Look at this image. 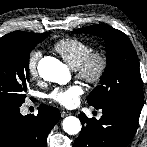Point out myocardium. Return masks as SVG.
Listing matches in <instances>:
<instances>
[{
	"label": "myocardium",
	"instance_id": "myocardium-1",
	"mask_svg": "<svg viewBox=\"0 0 147 147\" xmlns=\"http://www.w3.org/2000/svg\"><path fill=\"white\" fill-rule=\"evenodd\" d=\"M108 57L104 50H91L75 69L77 77L90 84L99 83L106 74Z\"/></svg>",
	"mask_w": 147,
	"mask_h": 147
}]
</instances>
